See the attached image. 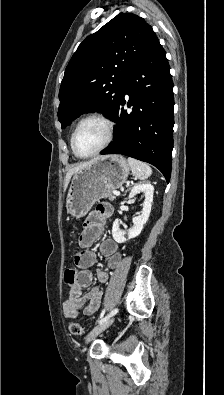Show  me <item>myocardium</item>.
<instances>
[{
    "label": "myocardium",
    "mask_w": 224,
    "mask_h": 395,
    "mask_svg": "<svg viewBox=\"0 0 224 395\" xmlns=\"http://www.w3.org/2000/svg\"><path fill=\"white\" fill-rule=\"evenodd\" d=\"M91 120L99 121L105 126L106 131H107L106 139L100 145V147H98L94 152H92L88 155H81L78 153V151L76 149L77 134H78L80 128L82 127V125L88 121H91ZM114 133H115L114 122L108 116H106L102 113H90V114L84 116L83 118H81L74 129V132H73L72 138H71L72 151H73L74 155L80 159H88V158L94 157L109 146V144L112 142V140L114 138Z\"/></svg>",
    "instance_id": "f54148a6"
}]
</instances>
